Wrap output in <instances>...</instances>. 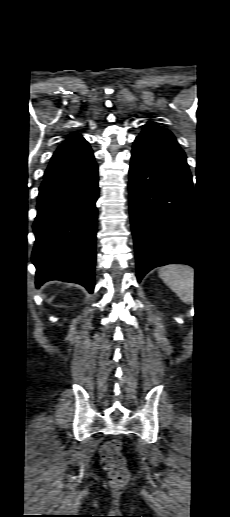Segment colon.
<instances>
[{
	"label": "colon",
	"mask_w": 230,
	"mask_h": 517,
	"mask_svg": "<svg viewBox=\"0 0 230 517\" xmlns=\"http://www.w3.org/2000/svg\"><path fill=\"white\" fill-rule=\"evenodd\" d=\"M101 464L108 472L110 484L120 487L129 480L126 460L122 455V444L113 439L104 443L100 449Z\"/></svg>",
	"instance_id": "1"
}]
</instances>
